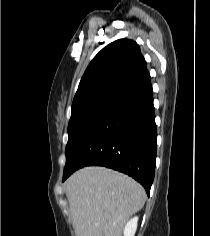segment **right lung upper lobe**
<instances>
[{"instance_id":"cb5924a9","label":"right lung upper lobe","mask_w":210,"mask_h":236,"mask_svg":"<svg viewBox=\"0 0 210 236\" xmlns=\"http://www.w3.org/2000/svg\"><path fill=\"white\" fill-rule=\"evenodd\" d=\"M148 79L150 75L139 45L128 39L116 40L90 62L79 83L72 107L114 89L131 91Z\"/></svg>"}]
</instances>
